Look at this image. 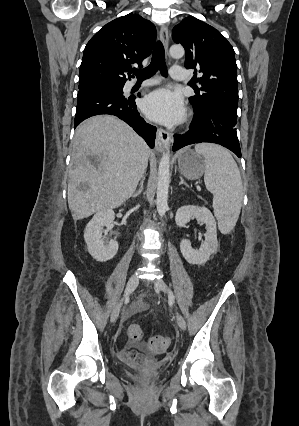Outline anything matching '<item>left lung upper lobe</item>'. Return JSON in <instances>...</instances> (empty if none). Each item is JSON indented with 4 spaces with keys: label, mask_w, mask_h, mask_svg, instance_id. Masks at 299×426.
<instances>
[{
    "label": "left lung upper lobe",
    "mask_w": 299,
    "mask_h": 426,
    "mask_svg": "<svg viewBox=\"0 0 299 426\" xmlns=\"http://www.w3.org/2000/svg\"><path fill=\"white\" fill-rule=\"evenodd\" d=\"M175 43L185 48V67L201 75L200 92L190 97L196 110L221 107L237 116V69L233 47L215 28L189 16L172 32Z\"/></svg>",
    "instance_id": "5c2ea615"
}]
</instances>
